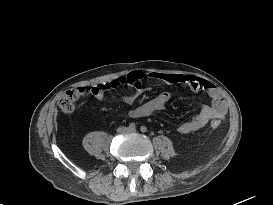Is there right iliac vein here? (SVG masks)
Returning <instances> with one entry per match:
<instances>
[{
  "mask_svg": "<svg viewBox=\"0 0 273 205\" xmlns=\"http://www.w3.org/2000/svg\"><path fill=\"white\" fill-rule=\"evenodd\" d=\"M118 132H119V133H126V132H127V128H126V127H120V128L118 129Z\"/></svg>",
  "mask_w": 273,
  "mask_h": 205,
  "instance_id": "63e3f726",
  "label": "right iliac vein"
}]
</instances>
